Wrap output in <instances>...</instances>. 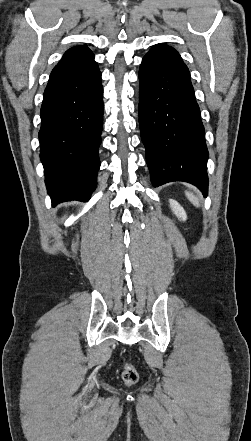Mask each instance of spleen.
Here are the masks:
<instances>
[{"instance_id":"obj_1","label":"spleen","mask_w":251,"mask_h":441,"mask_svg":"<svg viewBox=\"0 0 251 441\" xmlns=\"http://www.w3.org/2000/svg\"><path fill=\"white\" fill-rule=\"evenodd\" d=\"M186 196L190 200V202L193 203V205H195L196 207L200 206L198 198L193 193L186 191Z\"/></svg>"}]
</instances>
